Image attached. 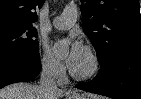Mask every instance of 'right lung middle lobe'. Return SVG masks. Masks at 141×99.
Wrapping results in <instances>:
<instances>
[{
	"label": "right lung middle lobe",
	"mask_w": 141,
	"mask_h": 99,
	"mask_svg": "<svg viewBox=\"0 0 141 99\" xmlns=\"http://www.w3.org/2000/svg\"><path fill=\"white\" fill-rule=\"evenodd\" d=\"M36 30L29 23L0 24V56L39 55Z\"/></svg>",
	"instance_id": "1"
}]
</instances>
